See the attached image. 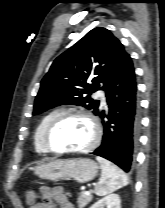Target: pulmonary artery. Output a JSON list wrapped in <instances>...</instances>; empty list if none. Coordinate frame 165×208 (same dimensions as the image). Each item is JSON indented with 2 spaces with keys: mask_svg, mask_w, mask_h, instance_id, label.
Segmentation results:
<instances>
[{
  "mask_svg": "<svg viewBox=\"0 0 165 208\" xmlns=\"http://www.w3.org/2000/svg\"><path fill=\"white\" fill-rule=\"evenodd\" d=\"M96 96L99 97L101 103L103 105H105L106 100H105V94H104V92L102 90H99V91H97Z\"/></svg>",
  "mask_w": 165,
  "mask_h": 208,
  "instance_id": "pulmonary-artery-1",
  "label": "pulmonary artery"
}]
</instances>
